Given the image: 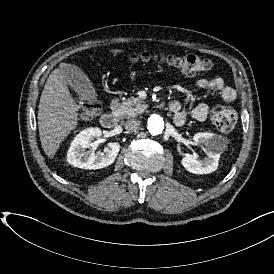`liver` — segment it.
<instances>
[{"instance_id": "obj_1", "label": "liver", "mask_w": 274, "mask_h": 274, "mask_svg": "<svg viewBox=\"0 0 274 274\" xmlns=\"http://www.w3.org/2000/svg\"><path fill=\"white\" fill-rule=\"evenodd\" d=\"M119 53L121 50H112ZM80 74L79 68L61 63L49 75L38 106V129L41 146L49 158H53L60 143L78 124L79 106L72 98L68 86L74 76Z\"/></svg>"}]
</instances>
